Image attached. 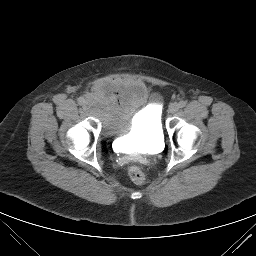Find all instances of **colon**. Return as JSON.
Here are the masks:
<instances>
[{
    "label": "colon",
    "instance_id": "1",
    "mask_svg": "<svg viewBox=\"0 0 256 256\" xmlns=\"http://www.w3.org/2000/svg\"><path fill=\"white\" fill-rule=\"evenodd\" d=\"M128 174L130 179L137 184H143L145 181V174L138 166H130Z\"/></svg>",
    "mask_w": 256,
    "mask_h": 256
}]
</instances>
